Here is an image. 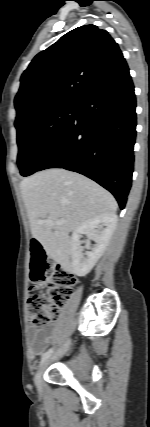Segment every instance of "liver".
<instances>
[{
    "mask_svg": "<svg viewBox=\"0 0 150 427\" xmlns=\"http://www.w3.org/2000/svg\"><path fill=\"white\" fill-rule=\"evenodd\" d=\"M32 237L47 254L63 266H69V233L83 222L115 214L117 202L107 190L81 174L62 168L37 172L20 183ZM63 224L48 226L44 220Z\"/></svg>",
    "mask_w": 150,
    "mask_h": 427,
    "instance_id": "1",
    "label": "liver"
}]
</instances>
